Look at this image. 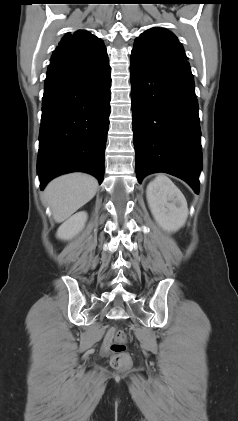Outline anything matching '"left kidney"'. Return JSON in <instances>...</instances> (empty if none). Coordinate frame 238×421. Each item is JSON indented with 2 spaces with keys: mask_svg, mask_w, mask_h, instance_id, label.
Returning <instances> with one entry per match:
<instances>
[{
  "mask_svg": "<svg viewBox=\"0 0 238 421\" xmlns=\"http://www.w3.org/2000/svg\"><path fill=\"white\" fill-rule=\"evenodd\" d=\"M146 196L155 221L165 231L176 232L184 226L188 217L187 201L169 178L157 176L148 184Z\"/></svg>",
  "mask_w": 238,
  "mask_h": 421,
  "instance_id": "5707ae66",
  "label": "left kidney"
}]
</instances>
